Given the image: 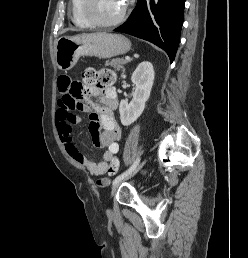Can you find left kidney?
I'll use <instances>...</instances> for the list:
<instances>
[{"label": "left kidney", "instance_id": "1", "mask_svg": "<svg viewBox=\"0 0 248 258\" xmlns=\"http://www.w3.org/2000/svg\"><path fill=\"white\" fill-rule=\"evenodd\" d=\"M153 65L149 61L141 62L132 74L131 80L136 88L130 103L121 100L119 105L120 120L124 126L135 122L142 114L145 104L150 97L154 81Z\"/></svg>", "mask_w": 248, "mask_h": 258}]
</instances>
